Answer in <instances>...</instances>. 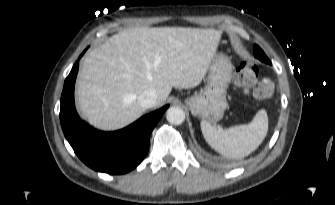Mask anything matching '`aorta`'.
<instances>
[{"instance_id": "aorta-1", "label": "aorta", "mask_w": 335, "mask_h": 205, "mask_svg": "<svg viewBox=\"0 0 335 205\" xmlns=\"http://www.w3.org/2000/svg\"><path fill=\"white\" fill-rule=\"evenodd\" d=\"M166 119L171 124L179 125L184 122L185 113L180 107L173 106L166 111Z\"/></svg>"}]
</instances>
